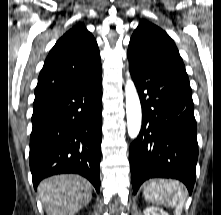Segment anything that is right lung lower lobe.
Segmentation results:
<instances>
[{"instance_id":"98d812e1","label":"right lung lower lobe","mask_w":221,"mask_h":215,"mask_svg":"<svg viewBox=\"0 0 221 215\" xmlns=\"http://www.w3.org/2000/svg\"><path fill=\"white\" fill-rule=\"evenodd\" d=\"M102 76L33 104L29 163L33 185L77 173L100 190Z\"/></svg>"}]
</instances>
